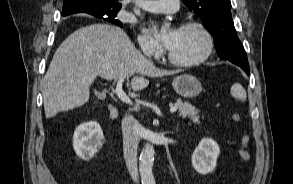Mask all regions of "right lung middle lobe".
Here are the masks:
<instances>
[{"instance_id":"obj_1","label":"right lung middle lobe","mask_w":293,"mask_h":184,"mask_svg":"<svg viewBox=\"0 0 293 184\" xmlns=\"http://www.w3.org/2000/svg\"><path fill=\"white\" fill-rule=\"evenodd\" d=\"M117 10H99L98 11V14L100 15V17L102 18L103 15H106V16H109V18H106L110 21H116L118 22L117 20H115L114 18L117 16Z\"/></svg>"}]
</instances>
